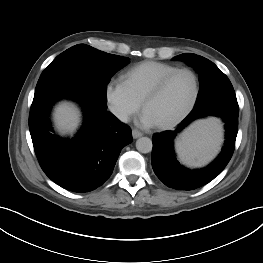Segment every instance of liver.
<instances>
[{
  "instance_id": "obj_1",
  "label": "liver",
  "mask_w": 263,
  "mask_h": 263,
  "mask_svg": "<svg viewBox=\"0 0 263 263\" xmlns=\"http://www.w3.org/2000/svg\"><path fill=\"white\" fill-rule=\"evenodd\" d=\"M54 121L61 133H73L80 123V112L73 104L63 102L55 109Z\"/></svg>"
}]
</instances>
